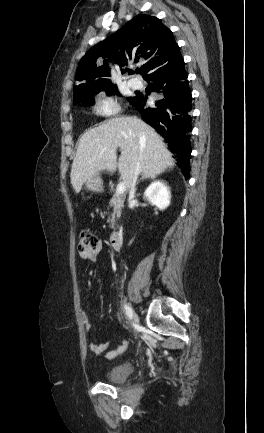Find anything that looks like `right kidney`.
<instances>
[{
    "instance_id": "right-kidney-1",
    "label": "right kidney",
    "mask_w": 264,
    "mask_h": 433,
    "mask_svg": "<svg viewBox=\"0 0 264 433\" xmlns=\"http://www.w3.org/2000/svg\"><path fill=\"white\" fill-rule=\"evenodd\" d=\"M144 196L160 210H164L170 205V191L161 181L152 182L146 189Z\"/></svg>"
}]
</instances>
